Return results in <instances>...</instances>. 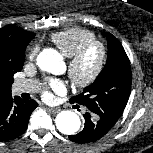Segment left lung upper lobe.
I'll use <instances>...</instances> for the list:
<instances>
[{
	"label": "left lung upper lobe",
	"instance_id": "1",
	"mask_svg": "<svg viewBox=\"0 0 153 153\" xmlns=\"http://www.w3.org/2000/svg\"><path fill=\"white\" fill-rule=\"evenodd\" d=\"M108 42L107 62L95 82L78 96L71 98L88 108L97 117L113 126L122 114L131 90V68L121 43L110 33H103Z\"/></svg>",
	"mask_w": 153,
	"mask_h": 153
}]
</instances>
